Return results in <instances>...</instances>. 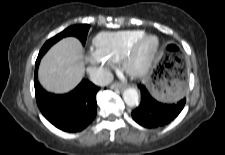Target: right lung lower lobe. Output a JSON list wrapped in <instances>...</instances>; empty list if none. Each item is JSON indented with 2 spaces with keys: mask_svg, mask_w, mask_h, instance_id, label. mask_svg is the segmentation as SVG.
I'll list each match as a JSON object with an SVG mask.
<instances>
[{
  "mask_svg": "<svg viewBox=\"0 0 225 155\" xmlns=\"http://www.w3.org/2000/svg\"><path fill=\"white\" fill-rule=\"evenodd\" d=\"M35 64V94L37 105L43 116L55 127L66 132H78L86 128L96 116L97 86L88 80H83L77 88L68 94L55 95L46 92L37 78L40 62Z\"/></svg>",
  "mask_w": 225,
  "mask_h": 155,
  "instance_id": "1",
  "label": "right lung lower lobe"
}]
</instances>
